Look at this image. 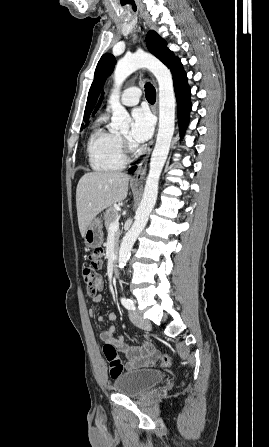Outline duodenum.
I'll return each instance as SVG.
<instances>
[{
	"label": "duodenum",
	"mask_w": 269,
	"mask_h": 447,
	"mask_svg": "<svg viewBox=\"0 0 269 447\" xmlns=\"http://www.w3.org/2000/svg\"><path fill=\"white\" fill-rule=\"evenodd\" d=\"M117 261H118V253L114 252L112 254V257H111V264H112V272H113V274H117V272L119 270L118 265H117Z\"/></svg>",
	"instance_id": "1"
}]
</instances>
